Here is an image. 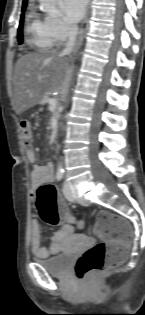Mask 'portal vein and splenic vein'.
Returning <instances> with one entry per match:
<instances>
[{"instance_id": "obj_1", "label": "portal vein and splenic vein", "mask_w": 145, "mask_h": 315, "mask_svg": "<svg viewBox=\"0 0 145 315\" xmlns=\"http://www.w3.org/2000/svg\"><path fill=\"white\" fill-rule=\"evenodd\" d=\"M56 103V99L51 98L49 99V104L54 105Z\"/></svg>"}]
</instances>
